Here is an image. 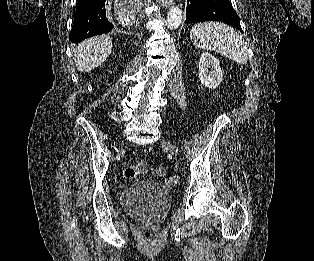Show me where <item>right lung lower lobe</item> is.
Returning a JSON list of instances; mask_svg holds the SVG:
<instances>
[{"label":"right lung lower lobe","instance_id":"1","mask_svg":"<svg viewBox=\"0 0 314 261\" xmlns=\"http://www.w3.org/2000/svg\"><path fill=\"white\" fill-rule=\"evenodd\" d=\"M106 0H78L70 41H80L99 34L108 33L113 25L106 18Z\"/></svg>","mask_w":314,"mask_h":261}]
</instances>
